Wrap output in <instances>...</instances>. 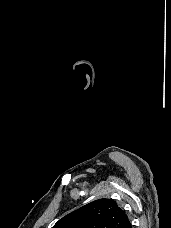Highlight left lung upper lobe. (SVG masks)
<instances>
[{"label":"left lung upper lobe","instance_id":"1","mask_svg":"<svg viewBox=\"0 0 171 228\" xmlns=\"http://www.w3.org/2000/svg\"><path fill=\"white\" fill-rule=\"evenodd\" d=\"M128 221L114 200L99 199L64 216L53 228H122Z\"/></svg>","mask_w":171,"mask_h":228}]
</instances>
